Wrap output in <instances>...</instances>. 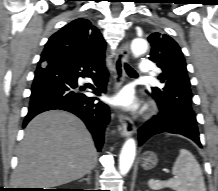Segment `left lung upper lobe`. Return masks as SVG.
Instances as JSON below:
<instances>
[{
    "instance_id": "left-lung-upper-lobe-1",
    "label": "left lung upper lobe",
    "mask_w": 218,
    "mask_h": 191,
    "mask_svg": "<svg viewBox=\"0 0 218 191\" xmlns=\"http://www.w3.org/2000/svg\"><path fill=\"white\" fill-rule=\"evenodd\" d=\"M148 40L152 46L149 59L162 70L158 76L162 85L152 88V96L170 111L175 112L176 105L181 103L192 108L190 81L180 47L171 37L162 33H153ZM190 122L197 129L195 116Z\"/></svg>"
}]
</instances>
